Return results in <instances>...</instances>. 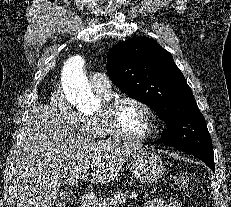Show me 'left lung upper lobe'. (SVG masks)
I'll list each match as a JSON object with an SVG mask.
<instances>
[{"label":"left lung upper lobe","instance_id":"1","mask_svg":"<svg viewBox=\"0 0 231 207\" xmlns=\"http://www.w3.org/2000/svg\"><path fill=\"white\" fill-rule=\"evenodd\" d=\"M107 72L124 93L151 106L166 122L161 141L179 149L213 152L206 121L172 55L148 37L116 44Z\"/></svg>","mask_w":231,"mask_h":207}]
</instances>
